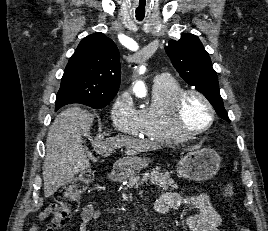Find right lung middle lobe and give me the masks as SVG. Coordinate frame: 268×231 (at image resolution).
<instances>
[{"label": "right lung middle lobe", "mask_w": 268, "mask_h": 231, "mask_svg": "<svg viewBox=\"0 0 268 231\" xmlns=\"http://www.w3.org/2000/svg\"><path fill=\"white\" fill-rule=\"evenodd\" d=\"M113 98L111 99H106V100H100V101H92V102H82V104H85L87 106H90L94 109H100V108H103L105 107L107 104H109V102L112 100ZM71 104V103H70ZM63 105H66V104H62L61 102L58 103L56 101V108L55 110H58L60 107H62Z\"/></svg>", "instance_id": "obj_1"}]
</instances>
